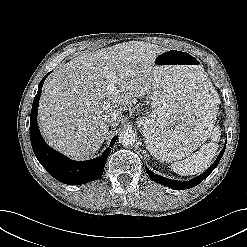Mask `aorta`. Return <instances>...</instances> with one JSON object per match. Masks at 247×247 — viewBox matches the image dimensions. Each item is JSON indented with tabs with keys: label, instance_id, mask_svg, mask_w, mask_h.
Instances as JSON below:
<instances>
[{
	"label": "aorta",
	"instance_id": "762f6f07",
	"mask_svg": "<svg viewBox=\"0 0 247 247\" xmlns=\"http://www.w3.org/2000/svg\"><path fill=\"white\" fill-rule=\"evenodd\" d=\"M136 137L133 131L123 130L119 134V143L123 146H131L135 143Z\"/></svg>",
	"mask_w": 247,
	"mask_h": 247
}]
</instances>
